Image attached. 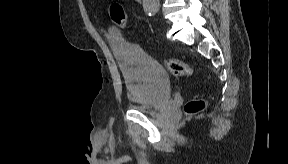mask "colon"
I'll return each instance as SVG.
<instances>
[{
  "label": "colon",
  "mask_w": 288,
  "mask_h": 164,
  "mask_svg": "<svg viewBox=\"0 0 288 164\" xmlns=\"http://www.w3.org/2000/svg\"><path fill=\"white\" fill-rule=\"evenodd\" d=\"M110 12L111 16L117 21L118 26L121 29H126L128 27L126 17L121 8L115 5V7H113ZM164 62L166 67L171 71V73H173L177 77H190L194 73V70L182 61L175 59H166ZM206 107L207 101L203 98H199L189 101L185 105L184 110L187 115L193 116L203 112Z\"/></svg>",
  "instance_id": "5ec220e1"
}]
</instances>
